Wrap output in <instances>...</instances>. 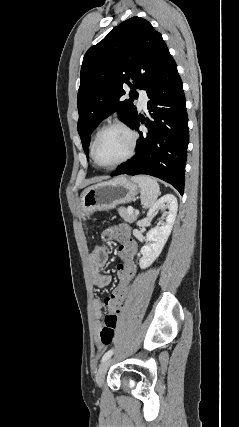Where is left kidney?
Wrapping results in <instances>:
<instances>
[{
    "label": "left kidney",
    "instance_id": "1",
    "mask_svg": "<svg viewBox=\"0 0 239 427\" xmlns=\"http://www.w3.org/2000/svg\"><path fill=\"white\" fill-rule=\"evenodd\" d=\"M166 209H168L166 222L162 226L152 228L146 234V244L141 249L142 258L139 261L141 269L149 267L157 259L172 231L178 209L177 198L172 194L160 198L149 209L147 217H152L158 210Z\"/></svg>",
    "mask_w": 239,
    "mask_h": 427
}]
</instances>
